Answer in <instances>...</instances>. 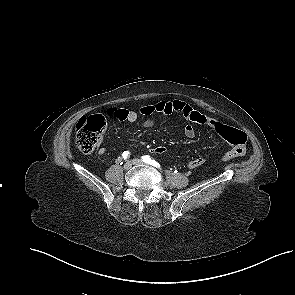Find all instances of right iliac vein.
I'll use <instances>...</instances> for the list:
<instances>
[{"mask_svg":"<svg viewBox=\"0 0 295 295\" xmlns=\"http://www.w3.org/2000/svg\"><path fill=\"white\" fill-rule=\"evenodd\" d=\"M131 167H132V164H131V162H126L125 164H124V169L125 170H130L131 169Z\"/></svg>","mask_w":295,"mask_h":295,"instance_id":"1","label":"right iliac vein"}]
</instances>
